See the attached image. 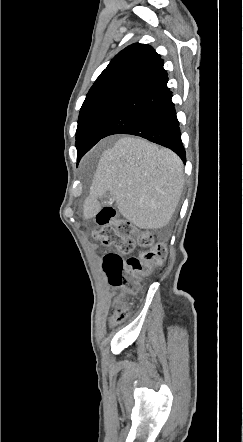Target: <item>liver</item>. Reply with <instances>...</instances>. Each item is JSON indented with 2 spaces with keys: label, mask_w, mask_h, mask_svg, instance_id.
Here are the masks:
<instances>
[{
  "label": "liver",
  "mask_w": 243,
  "mask_h": 442,
  "mask_svg": "<svg viewBox=\"0 0 243 442\" xmlns=\"http://www.w3.org/2000/svg\"><path fill=\"white\" fill-rule=\"evenodd\" d=\"M183 186V163L173 151L142 138L122 137L99 160L83 217H95L101 209L98 198L109 191L129 222L140 229H159L170 222Z\"/></svg>",
  "instance_id": "6515ba94"
}]
</instances>
